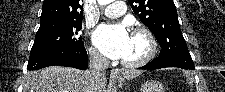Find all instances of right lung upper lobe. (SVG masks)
Returning <instances> with one entry per match:
<instances>
[{
    "label": "right lung upper lobe",
    "mask_w": 225,
    "mask_h": 92,
    "mask_svg": "<svg viewBox=\"0 0 225 92\" xmlns=\"http://www.w3.org/2000/svg\"><path fill=\"white\" fill-rule=\"evenodd\" d=\"M83 0H44L40 24L47 22H81Z\"/></svg>",
    "instance_id": "cb5924a9"
}]
</instances>
